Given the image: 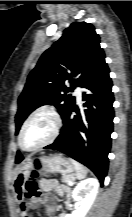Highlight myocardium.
Masks as SVG:
<instances>
[{"label": "myocardium", "instance_id": "obj_1", "mask_svg": "<svg viewBox=\"0 0 132 217\" xmlns=\"http://www.w3.org/2000/svg\"><path fill=\"white\" fill-rule=\"evenodd\" d=\"M43 112L48 113V114H50L52 116V118L54 120L53 132H52L51 136L45 142L41 143L40 145H38L36 147H33V148H26L23 145V142H22V138H23L25 128L27 127V125L30 123V121L35 116H37L38 114L43 113ZM61 127H62V118H61V115H60L59 111L53 105H49V104L41 105V106L37 107L27 117V119L23 123V125L21 127V130H20V133H19V136H18L19 145L23 150L29 151V152L40 150V149L50 145L51 143H53L57 139V137L60 134Z\"/></svg>", "mask_w": 132, "mask_h": 217}]
</instances>
